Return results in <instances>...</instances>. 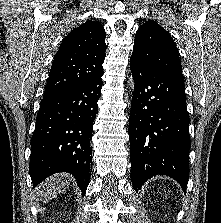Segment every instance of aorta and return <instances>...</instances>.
<instances>
[{"mask_svg":"<svg viewBox=\"0 0 221 223\" xmlns=\"http://www.w3.org/2000/svg\"><path fill=\"white\" fill-rule=\"evenodd\" d=\"M129 87H130L131 90L134 89V82L132 81V79L129 82Z\"/></svg>","mask_w":221,"mask_h":223,"instance_id":"762f6f07","label":"aorta"}]
</instances>
